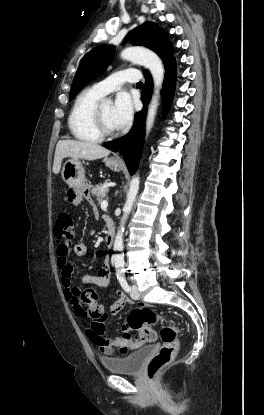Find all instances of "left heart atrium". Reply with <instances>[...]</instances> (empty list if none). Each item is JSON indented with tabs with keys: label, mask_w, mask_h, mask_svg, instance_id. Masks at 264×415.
<instances>
[{
	"label": "left heart atrium",
	"mask_w": 264,
	"mask_h": 415,
	"mask_svg": "<svg viewBox=\"0 0 264 415\" xmlns=\"http://www.w3.org/2000/svg\"><path fill=\"white\" fill-rule=\"evenodd\" d=\"M133 111V102L129 94L126 92L118 93L112 107V118L117 129L130 123Z\"/></svg>",
	"instance_id": "obj_1"
}]
</instances>
